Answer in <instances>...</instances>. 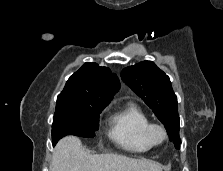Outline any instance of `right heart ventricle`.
<instances>
[{
	"label": "right heart ventricle",
	"instance_id": "obj_1",
	"mask_svg": "<svg viewBox=\"0 0 223 171\" xmlns=\"http://www.w3.org/2000/svg\"><path fill=\"white\" fill-rule=\"evenodd\" d=\"M108 123L110 139L122 149L141 153L152 148L145 134L150 120L138 105L129 103L113 112Z\"/></svg>",
	"mask_w": 223,
	"mask_h": 171
}]
</instances>
